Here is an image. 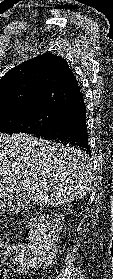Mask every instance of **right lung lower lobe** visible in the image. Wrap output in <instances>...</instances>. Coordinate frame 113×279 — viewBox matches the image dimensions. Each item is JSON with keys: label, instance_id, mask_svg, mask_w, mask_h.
I'll return each mask as SVG.
<instances>
[{"label": "right lung lower lobe", "instance_id": "1", "mask_svg": "<svg viewBox=\"0 0 113 279\" xmlns=\"http://www.w3.org/2000/svg\"><path fill=\"white\" fill-rule=\"evenodd\" d=\"M33 136L79 147L90 154L88 130L83 96L80 102L66 110L65 115L56 123L46 125L30 133Z\"/></svg>", "mask_w": 113, "mask_h": 279}]
</instances>
